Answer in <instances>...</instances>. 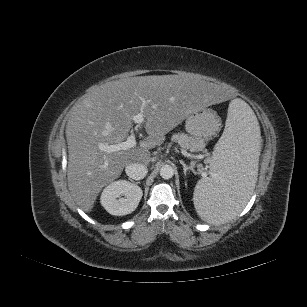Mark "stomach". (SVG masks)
Returning <instances> with one entry per match:
<instances>
[{
  "label": "stomach",
  "instance_id": "0dacf381",
  "mask_svg": "<svg viewBox=\"0 0 307 307\" xmlns=\"http://www.w3.org/2000/svg\"><path fill=\"white\" fill-rule=\"evenodd\" d=\"M221 121L216 112L208 109L194 111L186 117V131L198 138L210 140L220 129Z\"/></svg>",
  "mask_w": 307,
  "mask_h": 307
}]
</instances>
